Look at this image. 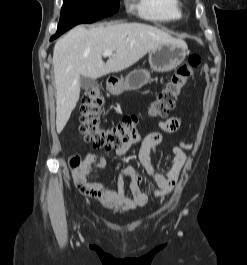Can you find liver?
I'll use <instances>...</instances> for the list:
<instances>
[{"label": "liver", "instance_id": "1", "mask_svg": "<svg viewBox=\"0 0 247 265\" xmlns=\"http://www.w3.org/2000/svg\"><path fill=\"white\" fill-rule=\"evenodd\" d=\"M183 43L142 23H120L86 29L78 26L59 39L53 51L56 85V129L60 133L80 97V78H99L122 71L165 43ZM113 55L105 63L103 54Z\"/></svg>", "mask_w": 247, "mask_h": 265}]
</instances>
